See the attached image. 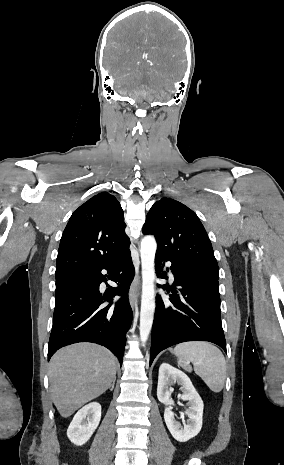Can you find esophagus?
<instances>
[{
	"mask_svg": "<svg viewBox=\"0 0 284 465\" xmlns=\"http://www.w3.org/2000/svg\"><path fill=\"white\" fill-rule=\"evenodd\" d=\"M136 294H137V279L135 278L131 284L130 292H129V300H130V305L132 309H134V306H135Z\"/></svg>",
	"mask_w": 284,
	"mask_h": 465,
	"instance_id": "esophagus-1",
	"label": "esophagus"
}]
</instances>
